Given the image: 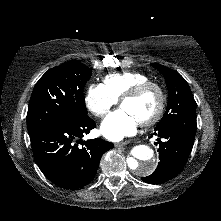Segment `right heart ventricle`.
Here are the masks:
<instances>
[{
	"mask_svg": "<svg viewBox=\"0 0 221 221\" xmlns=\"http://www.w3.org/2000/svg\"><path fill=\"white\" fill-rule=\"evenodd\" d=\"M146 81H149V77L144 73L123 71L106 75L103 85L119 100L127 91Z\"/></svg>",
	"mask_w": 221,
	"mask_h": 221,
	"instance_id": "1",
	"label": "right heart ventricle"
}]
</instances>
